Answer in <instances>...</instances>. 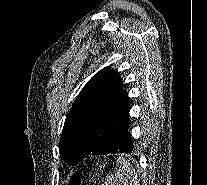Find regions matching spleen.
Masks as SVG:
<instances>
[{
  "label": "spleen",
  "instance_id": "1",
  "mask_svg": "<svg viewBox=\"0 0 207 185\" xmlns=\"http://www.w3.org/2000/svg\"><path fill=\"white\" fill-rule=\"evenodd\" d=\"M131 163L130 158H117L115 170H109L104 185H136L139 174H137V167H131Z\"/></svg>",
  "mask_w": 207,
  "mask_h": 185
}]
</instances>
